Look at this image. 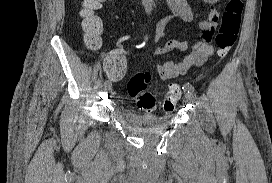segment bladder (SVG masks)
<instances>
[{
    "instance_id": "31cf9c89",
    "label": "bladder",
    "mask_w": 272,
    "mask_h": 183,
    "mask_svg": "<svg viewBox=\"0 0 272 183\" xmlns=\"http://www.w3.org/2000/svg\"><path fill=\"white\" fill-rule=\"evenodd\" d=\"M121 117L127 127L143 132H156L163 130L168 127L172 119L171 114H139L128 110L124 111Z\"/></svg>"
}]
</instances>
